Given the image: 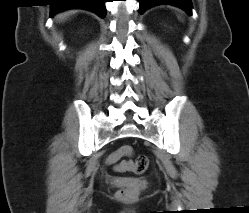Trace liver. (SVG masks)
I'll return each instance as SVG.
<instances>
[{
    "label": "liver",
    "mask_w": 249,
    "mask_h": 213,
    "mask_svg": "<svg viewBox=\"0 0 249 213\" xmlns=\"http://www.w3.org/2000/svg\"><path fill=\"white\" fill-rule=\"evenodd\" d=\"M67 13H60L56 15L57 20H63L66 17Z\"/></svg>",
    "instance_id": "obj_1"
}]
</instances>
